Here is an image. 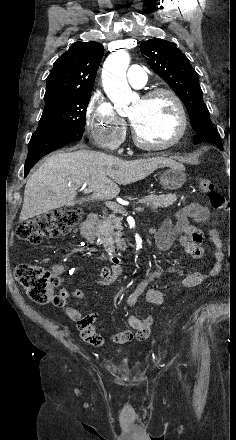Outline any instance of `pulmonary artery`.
Wrapping results in <instances>:
<instances>
[{
    "mask_svg": "<svg viewBox=\"0 0 236 440\" xmlns=\"http://www.w3.org/2000/svg\"><path fill=\"white\" fill-rule=\"evenodd\" d=\"M147 71L140 65H132L128 70V82L132 87L141 88L146 84Z\"/></svg>",
    "mask_w": 236,
    "mask_h": 440,
    "instance_id": "pulmonary-artery-1",
    "label": "pulmonary artery"
}]
</instances>
